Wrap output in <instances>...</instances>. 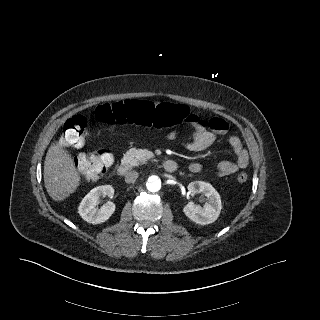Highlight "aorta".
I'll list each match as a JSON object with an SVG mask.
<instances>
[{
	"label": "aorta",
	"instance_id": "obj_1",
	"mask_svg": "<svg viewBox=\"0 0 320 320\" xmlns=\"http://www.w3.org/2000/svg\"><path fill=\"white\" fill-rule=\"evenodd\" d=\"M146 187L150 192H158L161 189V179L156 175L150 176Z\"/></svg>",
	"mask_w": 320,
	"mask_h": 320
}]
</instances>
